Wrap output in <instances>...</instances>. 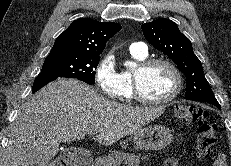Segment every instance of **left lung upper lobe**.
<instances>
[{
  "label": "left lung upper lobe",
  "mask_w": 231,
  "mask_h": 166,
  "mask_svg": "<svg viewBox=\"0 0 231 166\" xmlns=\"http://www.w3.org/2000/svg\"><path fill=\"white\" fill-rule=\"evenodd\" d=\"M146 40L173 60L186 76V100L217 101L206 80L200 60L194 54L191 41L177 24L165 18L142 26Z\"/></svg>",
  "instance_id": "left-lung-upper-lobe-1"
}]
</instances>
